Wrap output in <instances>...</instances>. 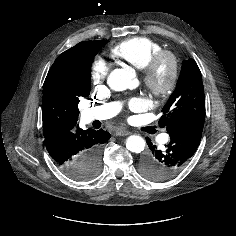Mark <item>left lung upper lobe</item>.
<instances>
[{"mask_svg": "<svg viewBox=\"0 0 236 236\" xmlns=\"http://www.w3.org/2000/svg\"><path fill=\"white\" fill-rule=\"evenodd\" d=\"M205 118L202 76L193 59L184 61L176 88L163 107L159 124L170 132L180 124Z\"/></svg>", "mask_w": 236, "mask_h": 236, "instance_id": "obj_1", "label": "left lung upper lobe"}]
</instances>
